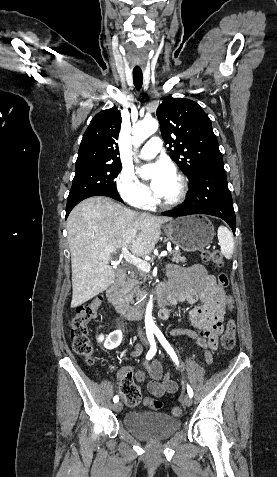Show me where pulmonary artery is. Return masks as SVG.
I'll use <instances>...</instances> for the list:
<instances>
[{"mask_svg": "<svg viewBox=\"0 0 277 477\" xmlns=\"http://www.w3.org/2000/svg\"><path fill=\"white\" fill-rule=\"evenodd\" d=\"M162 148V140L153 136L149 141L142 147L140 151V156L144 159H150L156 156Z\"/></svg>", "mask_w": 277, "mask_h": 477, "instance_id": "pulmonary-artery-1", "label": "pulmonary artery"}]
</instances>
